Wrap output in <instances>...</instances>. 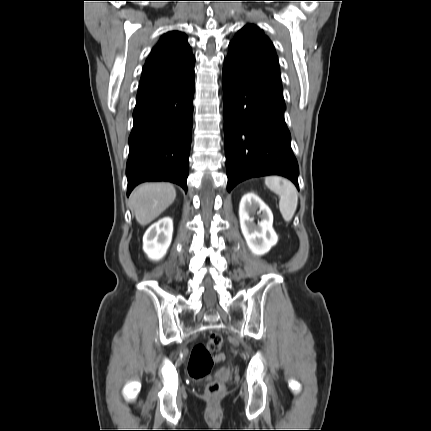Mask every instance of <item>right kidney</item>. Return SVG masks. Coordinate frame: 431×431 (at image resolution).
<instances>
[{
    "label": "right kidney",
    "instance_id": "ca27d5eb",
    "mask_svg": "<svg viewBox=\"0 0 431 431\" xmlns=\"http://www.w3.org/2000/svg\"><path fill=\"white\" fill-rule=\"evenodd\" d=\"M172 234L173 221L170 217H164L148 228L143 236V251L149 259L158 261L165 256Z\"/></svg>",
    "mask_w": 431,
    "mask_h": 431
}]
</instances>
